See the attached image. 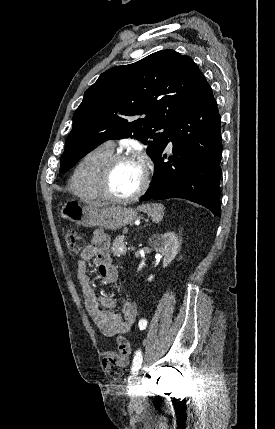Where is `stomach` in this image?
Returning <instances> with one entry per match:
<instances>
[{
    "instance_id": "obj_1",
    "label": "stomach",
    "mask_w": 275,
    "mask_h": 429,
    "mask_svg": "<svg viewBox=\"0 0 275 429\" xmlns=\"http://www.w3.org/2000/svg\"><path fill=\"white\" fill-rule=\"evenodd\" d=\"M63 219L87 226H99L108 230H117L133 223L137 218V211L132 208L111 206L97 208L74 200L65 202L60 210Z\"/></svg>"
}]
</instances>
